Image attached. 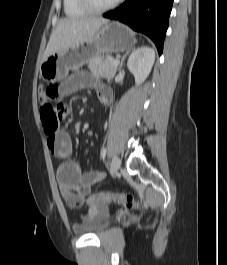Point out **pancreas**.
Returning <instances> with one entry per match:
<instances>
[{
  "mask_svg": "<svg viewBox=\"0 0 227 265\" xmlns=\"http://www.w3.org/2000/svg\"><path fill=\"white\" fill-rule=\"evenodd\" d=\"M114 60L112 57L98 56L88 62V68L94 76L111 80L115 76L117 69Z\"/></svg>",
  "mask_w": 227,
  "mask_h": 265,
  "instance_id": "cf45deb5",
  "label": "pancreas"
}]
</instances>
